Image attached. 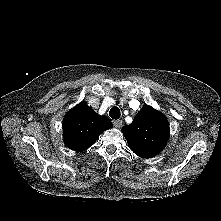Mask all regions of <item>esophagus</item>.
Masks as SVG:
<instances>
[{
	"instance_id": "esophagus-1",
	"label": "esophagus",
	"mask_w": 221,
	"mask_h": 221,
	"mask_svg": "<svg viewBox=\"0 0 221 221\" xmlns=\"http://www.w3.org/2000/svg\"><path fill=\"white\" fill-rule=\"evenodd\" d=\"M122 123H123L122 120H115L113 122V124L116 128H120L122 126Z\"/></svg>"
}]
</instances>
